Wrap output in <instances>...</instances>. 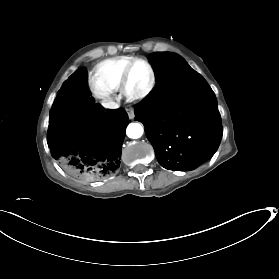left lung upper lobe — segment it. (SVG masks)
<instances>
[{
	"label": "left lung upper lobe",
	"mask_w": 279,
	"mask_h": 279,
	"mask_svg": "<svg viewBox=\"0 0 279 279\" xmlns=\"http://www.w3.org/2000/svg\"><path fill=\"white\" fill-rule=\"evenodd\" d=\"M149 61L155 69L156 85L144 99L146 103L170 96L187 80L198 75L181 56L175 53H154L150 55Z\"/></svg>",
	"instance_id": "obj_1"
}]
</instances>
